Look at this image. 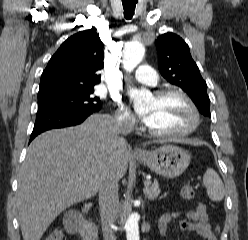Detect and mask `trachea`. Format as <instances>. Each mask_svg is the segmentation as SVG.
Here are the masks:
<instances>
[{
    "label": "trachea",
    "instance_id": "3493384b",
    "mask_svg": "<svg viewBox=\"0 0 248 240\" xmlns=\"http://www.w3.org/2000/svg\"><path fill=\"white\" fill-rule=\"evenodd\" d=\"M122 4H123L125 18L128 20L131 19L134 15L137 0H133L130 2L122 1Z\"/></svg>",
    "mask_w": 248,
    "mask_h": 240
}]
</instances>
